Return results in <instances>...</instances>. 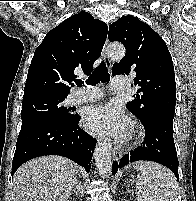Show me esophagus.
I'll return each mask as SVG.
<instances>
[{
	"label": "esophagus",
	"instance_id": "obj_1",
	"mask_svg": "<svg viewBox=\"0 0 196 201\" xmlns=\"http://www.w3.org/2000/svg\"><path fill=\"white\" fill-rule=\"evenodd\" d=\"M107 45H108V40H106L105 45H104V47H103L102 56H103L105 65H106L108 68H111V60H110V58L108 57L107 52H106ZM122 156H123V151H122L121 149L116 148V149L113 150V157H114L116 160H119L120 158H122Z\"/></svg>",
	"mask_w": 196,
	"mask_h": 201
}]
</instances>
